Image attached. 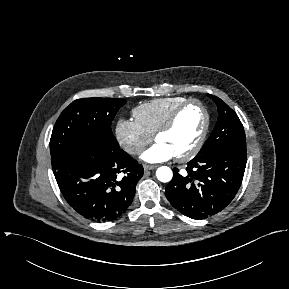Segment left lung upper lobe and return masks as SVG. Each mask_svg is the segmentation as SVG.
<instances>
[{"label": "left lung upper lobe", "instance_id": "obj_1", "mask_svg": "<svg viewBox=\"0 0 289 289\" xmlns=\"http://www.w3.org/2000/svg\"><path fill=\"white\" fill-rule=\"evenodd\" d=\"M217 105L218 120L200 152L195 158H204L218 150L229 147L246 148L243 125L237 114L220 98L208 94Z\"/></svg>", "mask_w": 289, "mask_h": 289}]
</instances>
